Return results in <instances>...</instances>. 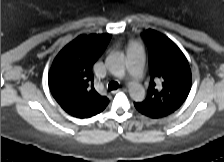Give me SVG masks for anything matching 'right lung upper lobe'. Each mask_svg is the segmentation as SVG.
Returning <instances> with one entry per match:
<instances>
[{
  "instance_id": "right-lung-upper-lobe-1",
  "label": "right lung upper lobe",
  "mask_w": 224,
  "mask_h": 162,
  "mask_svg": "<svg viewBox=\"0 0 224 162\" xmlns=\"http://www.w3.org/2000/svg\"><path fill=\"white\" fill-rule=\"evenodd\" d=\"M110 39V34L81 35L54 59L48 77L49 88L68 114L89 118L102 112L109 103L94 88L92 66Z\"/></svg>"
}]
</instances>
